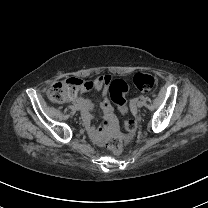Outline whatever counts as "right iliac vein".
I'll return each instance as SVG.
<instances>
[{
    "instance_id": "1",
    "label": "right iliac vein",
    "mask_w": 208,
    "mask_h": 208,
    "mask_svg": "<svg viewBox=\"0 0 208 208\" xmlns=\"http://www.w3.org/2000/svg\"><path fill=\"white\" fill-rule=\"evenodd\" d=\"M75 109L79 111V110H81V107L79 105H76Z\"/></svg>"
}]
</instances>
